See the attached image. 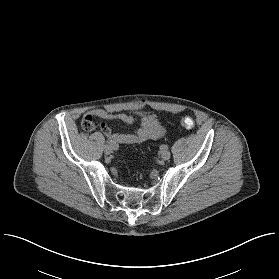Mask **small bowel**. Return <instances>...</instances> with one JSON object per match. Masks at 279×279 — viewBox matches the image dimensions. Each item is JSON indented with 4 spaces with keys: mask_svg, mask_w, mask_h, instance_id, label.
Returning a JSON list of instances; mask_svg holds the SVG:
<instances>
[{
    "mask_svg": "<svg viewBox=\"0 0 279 279\" xmlns=\"http://www.w3.org/2000/svg\"><path fill=\"white\" fill-rule=\"evenodd\" d=\"M101 118L105 120H119L128 124L139 122V128L131 133H114L106 124H101L100 129L105 134L112 145L136 144L150 139H158L164 135V128L160 118L154 114L134 116L126 113H114L106 109H93L88 111L82 124H89L94 128L93 119Z\"/></svg>",
    "mask_w": 279,
    "mask_h": 279,
    "instance_id": "1",
    "label": "small bowel"
}]
</instances>
